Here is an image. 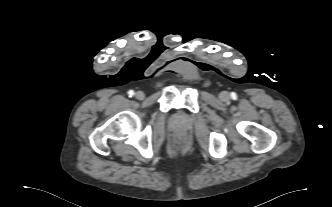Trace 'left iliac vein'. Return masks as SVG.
Segmentation results:
<instances>
[{
	"mask_svg": "<svg viewBox=\"0 0 332 207\" xmlns=\"http://www.w3.org/2000/svg\"><path fill=\"white\" fill-rule=\"evenodd\" d=\"M221 100L226 101L229 98V94L226 91H223L219 94Z\"/></svg>",
	"mask_w": 332,
	"mask_h": 207,
	"instance_id": "left-iliac-vein-1",
	"label": "left iliac vein"
}]
</instances>
